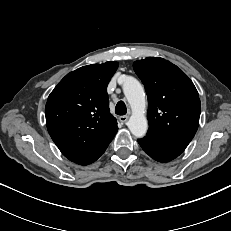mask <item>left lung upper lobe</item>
Masks as SVG:
<instances>
[{
	"mask_svg": "<svg viewBox=\"0 0 231 231\" xmlns=\"http://www.w3.org/2000/svg\"><path fill=\"white\" fill-rule=\"evenodd\" d=\"M133 67L148 97L147 135L184 151L197 131L201 110L193 82L163 58L148 57Z\"/></svg>",
	"mask_w": 231,
	"mask_h": 231,
	"instance_id": "obj_1",
	"label": "left lung upper lobe"
}]
</instances>
